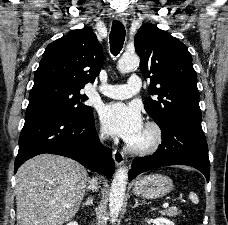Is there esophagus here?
<instances>
[{"mask_svg": "<svg viewBox=\"0 0 228 225\" xmlns=\"http://www.w3.org/2000/svg\"><path fill=\"white\" fill-rule=\"evenodd\" d=\"M116 20H118L119 22H121L124 25H126V23H127V19L123 16H117ZM113 160H114L115 164L117 165V167H119L124 162V154L122 152H120L119 150H114L113 151Z\"/></svg>", "mask_w": 228, "mask_h": 225, "instance_id": "obj_1", "label": "esophagus"}]
</instances>
